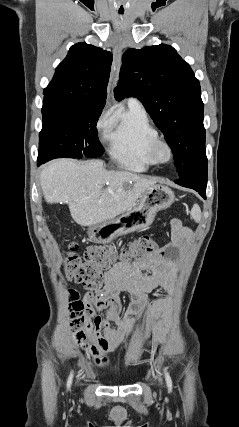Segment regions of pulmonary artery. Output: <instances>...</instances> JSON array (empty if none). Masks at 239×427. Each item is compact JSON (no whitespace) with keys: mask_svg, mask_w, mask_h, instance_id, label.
<instances>
[{"mask_svg":"<svg viewBox=\"0 0 239 427\" xmlns=\"http://www.w3.org/2000/svg\"><path fill=\"white\" fill-rule=\"evenodd\" d=\"M129 104H133V105H138V106H142L141 103L136 99V98H130L128 100Z\"/></svg>","mask_w":239,"mask_h":427,"instance_id":"obj_1","label":"pulmonary artery"}]
</instances>
